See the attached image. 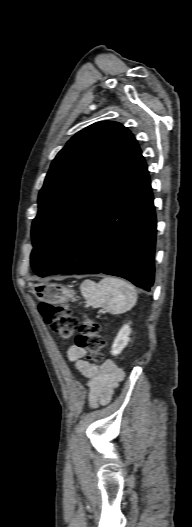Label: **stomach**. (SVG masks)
Returning <instances> with one entry per match:
<instances>
[{"label":"stomach","mask_w":192,"mask_h":527,"mask_svg":"<svg viewBox=\"0 0 192 527\" xmlns=\"http://www.w3.org/2000/svg\"><path fill=\"white\" fill-rule=\"evenodd\" d=\"M32 290L34 295L41 301L59 304L69 300L76 301L75 292L66 287L57 284H33Z\"/></svg>","instance_id":"obj_1"}]
</instances>
